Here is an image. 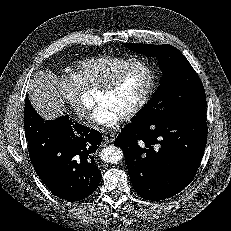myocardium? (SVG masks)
<instances>
[{
  "label": "myocardium",
  "instance_id": "1",
  "mask_svg": "<svg viewBox=\"0 0 231 231\" xmlns=\"http://www.w3.org/2000/svg\"><path fill=\"white\" fill-rule=\"evenodd\" d=\"M138 66H142L147 69L149 74V83L144 95L138 101V103L135 106H133L125 115H123V118L126 120L131 119L135 117L137 114H139L150 101L157 86V74L154 67L148 61L145 60L132 61L128 65L124 66L116 73H114L106 82H104L99 87V92H103V93L112 92L118 86V84L120 83L122 78L126 75V73L132 68Z\"/></svg>",
  "mask_w": 231,
  "mask_h": 231
}]
</instances>
